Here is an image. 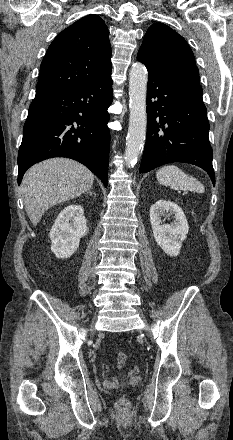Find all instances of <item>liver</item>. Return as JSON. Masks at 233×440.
<instances>
[{
  "instance_id": "obj_1",
  "label": "liver",
  "mask_w": 233,
  "mask_h": 440,
  "mask_svg": "<svg viewBox=\"0 0 233 440\" xmlns=\"http://www.w3.org/2000/svg\"><path fill=\"white\" fill-rule=\"evenodd\" d=\"M93 173L77 161L48 159L32 166L21 183L26 213L33 225L50 207L89 191Z\"/></svg>"
}]
</instances>
